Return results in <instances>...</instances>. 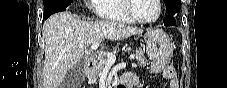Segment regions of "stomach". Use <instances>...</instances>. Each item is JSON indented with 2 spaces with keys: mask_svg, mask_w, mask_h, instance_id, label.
I'll list each match as a JSON object with an SVG mask.
<instances>
[{
  "mask_svg": "<svg viewBox=\"0 0 227 88\" xmlns=\"http://www.w3.org/2000/svg\"><path fill=\"white\" fill-rule=\"evenodd\" d=\"M146 53L153 60L152 70L161 71L168 65L173 54V43L161 29L149 30L145 35Z\"/></svg>",
  "mask_w": 227,
  "mask_h": 88,
  "instance_id": "0dacf381",
  "label": "stomach"
}]
</instances>
